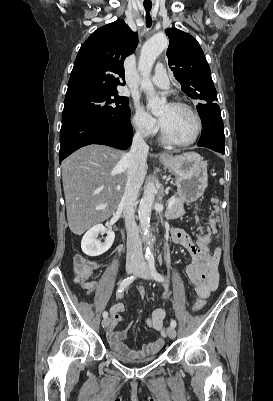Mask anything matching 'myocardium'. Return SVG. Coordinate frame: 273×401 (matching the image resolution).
Segmentation results:
<instances>
[{"label":"myocardium","instance_id":"f54148a6","mask_svg":"<svg viewBox=\"0 0 273 401\" xmlns=\"http://www.w3.org/2000/svg\"><path fill=\"white\" fill-rule=\"evenodd\" d=\"M170 106H174V107H178V108H182L184 110H186L188 113H190L195 121H196V125H197V130H196V134L194 135L193 138H191L190 140H186V141H181V140H177L175 138H173L163 127L161 121H159V127L161 130V136L164 142L171 144V145H176V146H189L194 144L196 141H198V139L200 138L202 132H203V121L201 116L199 115V113L190 105L186 104V103H182V102H171L169 104Z\"/></svg>","mask_w":273,"mask_h":401}]
</instances>
